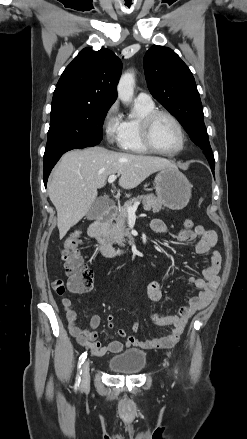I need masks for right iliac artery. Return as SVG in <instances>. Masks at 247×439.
<instances>
[{
  "label": "right iliac artery",
  "mask_w": 247,
  "mask_h": 439,
  "mask_svg": "<svg viewBox=\"0 0 247 439\" xmlns=\"http://www.w3.org/2000/svg\"><path fill=\"white\" fill-rule=\"evenodd\" d=\"M87 356V352L82 353V355L79 357V361H78V367H77V375H76V380H75V389L77 390L79 388L80 385V381H81V367L82 364L84 363L85 359Z\"/></svg>",
  "instance_id": "82829eb1"
}]
</instances>
